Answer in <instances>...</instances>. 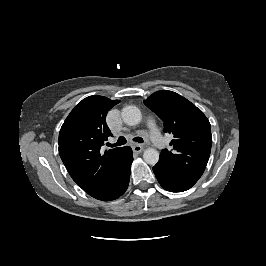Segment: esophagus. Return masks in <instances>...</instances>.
I'll list each match as a JSON object with an SVG mask.
<instances>
[{
    "mask_svg": "<svg viewBox=\"0 0 266 266\" xmlns=\"http://www.w3.org/2000/svg\"><path fill=\"white\" fill-rule=\"evenodd\" d=\"M132 149H133L134 152H136V153H140V152L143 151L144 147H143V145H141V144H134V145L132 146Z\"/></svg>",
    "mask_w": 266,
    "mask_h": 266,
    "instance_id": "esophagus-1",
    "label": "esophagus"
}]
</instances>
